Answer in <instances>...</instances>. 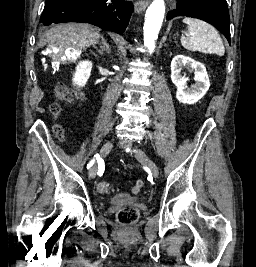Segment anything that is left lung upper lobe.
<instances>
[{"label":"left lung upper lobe","mask_w":256,"mask_h":267,"mask_svg":"<svg viewBox=\"0 0 256 267\" xmlns=\"http://www.w3.org/2000/svg\"><path fill=\"white\" fill-rule=\"evenodd\" d=\"M177 16L194 17L212 24L230 44L229 11L226 0H178L177 10L168 12L167 19Z\"/></svg>","instance_id":"obj_1"}]
</instances>
